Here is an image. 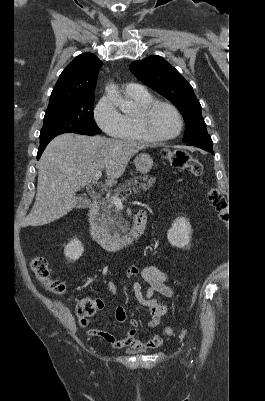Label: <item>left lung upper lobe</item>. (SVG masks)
<instances>
[{"label": "left lung upper lobe", "mask_w": 265, "mask_h": 401, "mask_svg": "<svg viewBox=\"0 0 265 401\" xmlns=\"http://www.w3.org/2000/svg\"><path fill=\"white\" fill-rule=\"evenodd\" d=\"M129 68L140 81L170 100L181 112L186 124L183 142L208 135L192 86L166 60L154 55L134 61Z\"/></svg>", "instance_id": "1"}]
</instances>
